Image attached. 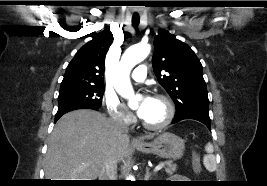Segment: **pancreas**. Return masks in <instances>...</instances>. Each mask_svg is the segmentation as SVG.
I'll return each mask as SVG.
<instances>
[{"label": "pancreas", "instance_id": "obj_1", "mask_svg": "<svg viewBox=\"0 0 267 186\" xmlns=\"http://www.w3.org/2000/svg\"><path fill=\"white\" fill-rule=\"evenodd\" d=\"M161 164H163L165 172L168 175H172L176 171L177 165L173 164L171 161L162 162Z\"/></svg>", "mask_w": 267, "mask_h": 186}]
</instances>
